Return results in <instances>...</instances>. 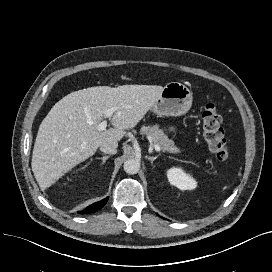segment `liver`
<instances>
[{
	"label": "liver",
	"instance_id": "6515ba94",
	"mask_svg": "<svg viewBox=\"0 0 272 272\" xmlns=\"http://www.w3.org/2000/svg\"><path fill=\"white\" fill-rule=\"evenodd\" d=\"M162 86L89 87L58 101L40 124L32 154V171L41 189L54 184L107 142L117 143L135 127L160 97ZM114 128L98 130L107 108Z\"/></svg>",
	"mask_w": 272,
	"mask_h": 272
}]
</instances>
